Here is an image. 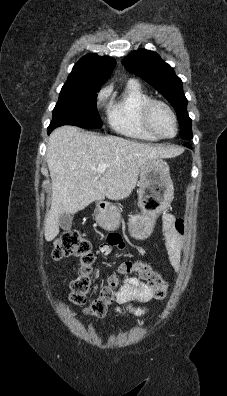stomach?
Listing matches in <instances>:
<instances>
[{
  "mask_svg": "<svg viewBox=\"0 0 227 396\" xmlns=\"http://www.w3.org/2000/svg\"><path fill=\"white\" fill-rule=\"evenodd\" d=\"M138 203L141 214L133 215L128 222L130 235L137 240L148 238L156 218L169 206L174 187L167 162L151 159L140 168ZM96 222L105 230H116L120 224V210L109 203L98 202L95 210Z\"/></svg>",
  "mask_w": 227,
  "mask_h": 396,
  "instance_id": "1",
  "label": "stomach"
}]
</instances>
